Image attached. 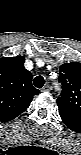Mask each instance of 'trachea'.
Wrapping results in <instances>:
<instances>
[{"mask_svg": "<svg viewBox=\"0 0 81 155\" xmlns=\"http://www.w3.org/2000/svg\"><path fill=\"white\" fill-rule=\"evenodd\" d=\"M45 80L42 76H36L33 80V84L37 88H42L44 86Z\"/></svg>", "mask_w": 81, "mask_h": 155, "instance_id": "obj_1", "label": "trachea"}]
</instances>
